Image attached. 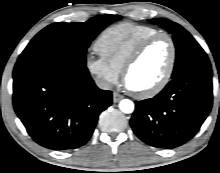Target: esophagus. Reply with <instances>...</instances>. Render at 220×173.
<instances>
[{
	"label": "esophagus",
	"instance_id": "obj_1",
	"mask_svg": "<svg viewBox=\"0 0 220 173\" xmlns=\"http://www.w3.org/2000/svg\"><path fill=\"white\" fill-rule=\"evenodd\" d=\"M122 99H123V95L119 94L118 92L113 93V102L114 103H117Z\"/></svg>",
	"mask_w": 220,
	"mask_h": 173
}]
</instances>
